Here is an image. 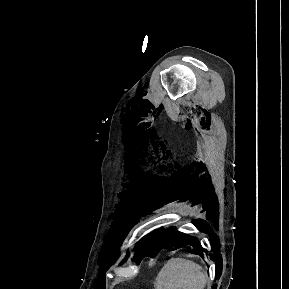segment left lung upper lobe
I'll return each mask as SVG.
<instances>
[{
	"instance_id": "left-lung-upper-lobe-1",
	"label": "left lung upper lobe",
	"mask_w": 289,
	"mask_h": 289,
	"mask_svg": "<svg viewBox=\"0 0 289 289\" xmlns=\"http://www.w3.org/2000/svg\"><path fill=\"white\" fill-rule=\"evenodd\" d=\"M164 235L165 230L160 228L141 239L138 243L137 251L132 260L140 263V261L145 256L155 257L158 252L165 247V244L162 240Z\"/></svg>"
}]
</instances>
